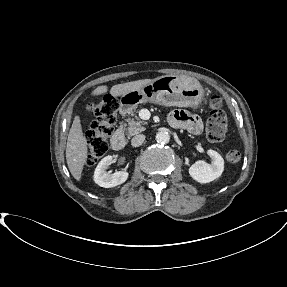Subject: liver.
Instances as JSON below:
<instances>
[{"label": "liver", "instance_id": "obj_1", "mask_svg": "<svg viewBox=\"0 0 287 287\" xmlns=\"http://www.w3.org/2000/svg\"><path fill=\"white\" fill-rule=\"evenodd\" d=\"M155 79H142L123 84L112 86L110 94L114 97L121 96L124 93L139 90L143 86L153 82ZM108 87L106 85L98 86L91 92L92 96H98L107 93ZM88 147L87 140L83 135L81 120L79 116L74 118L72 126L69 131L67 145H66V161L72 176L77 180H81L82 171L87 161Z\"/></svg>", "mask_w": 287, "mask_h": 287}]
</instances>
